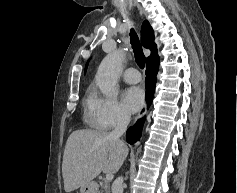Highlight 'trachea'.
I'll use <instances>...</instances> for the list:
<instances>
[{"label": "trachea", "mask_w": 237, "mask_h": 193, "mask_svg": "<svg viewBox=\"0 0 237 193\" xmlns=\"http://www.w3.org/2000/svg\"><path fill=\"white\" fill-rule=\"evenodd\" d=\"M130 40L132 44V48L134 51L135 59L138 64V66L143 69L145 67V56L142 50V47L140 45L138 36L134 29H131L130 31Z\"/></svg>", "instance_id": "1"}]
</instances>
